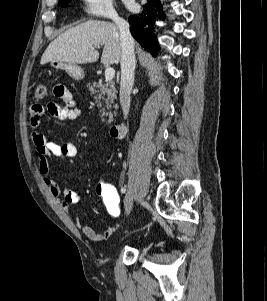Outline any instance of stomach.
Here are the masks:
<instances>
[{"mask_svg": "<svg viewBox=\"0 0 267 301\" xmlns=\"http://www.w3.org/2000/svg\"><path fill=\"white\" fill-rule=\"evenodd\" d=\"M51 67L57 70H64L71 78L75 80H81L84 78V71L77 64H71L61 61H52Z\"/></svg>", "mask_w": 267, "mask_h": 301, "instance_id": "obj_1", "label": "stomach"}]
</instances>
